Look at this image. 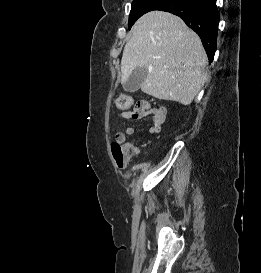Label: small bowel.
<instances>
[{"label":"small bowel","instance_id":"1","mask_svg":"<svg viewBox=\"0 0 261 273\" xmlns=\"http://www.w3.org/2000/svg\"><path fill=\"white\" fill-rule=\"evenodd\" d=\"M144 116L139 118L142 119L148 115H150L152 117L153 120V125L150 127V133H158L161 129L162 124L165 121V117H166V110L165 108L161 107V106H156V107H150V105L147 102H144ZM122 117L124 119L130 120L132 119V111H130L129 109H122ZM134 133V129L133 127H127L124 131V134L126 136H130ZM140 153V150L138 147L130 145V154L129 157H133L136 156Z\"/></svg>","mask_w":261,"mask_h":273}]
</instances>
